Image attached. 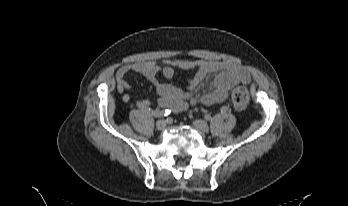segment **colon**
<instances>
[{"label": "colon", "mask_w": 348, "mask_h": 206, "mask_svg": "<svg viewBox=\"0 0 348 206\" xmlns=\"http://www.w3.org/2000/svg\"><path fill=\"white\" fill-rule=\"evenodd\" d=\"M231 99L234 107L239 111H243L249 103L248 91L242 86H237L231 93Z\"/></svg>", "instance_id": "1"}]
</instances>
